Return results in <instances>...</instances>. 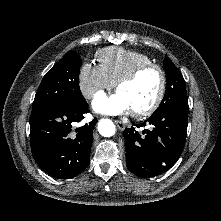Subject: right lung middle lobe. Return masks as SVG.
I'll list each match as a JSON object with an SVG mask.
<instances>
[{
	"mask_svg": "<svg viewBox=\"0 0 221 221\" xmlns=\"http://www.w3.org/2000/svg\"><path fill=\"white\" fill-rule=\"evenodd\" d=\"M80 66V56L69 51L43 77L34 98L30 121L55 106L80 105L85 101L79 88Z\"/></svg>",
	"mask_w": 221,
	"mask_h": 221,
	"instance_id": "dd1d6c3e",
	"label": "right lung middle lobe"
}]
</instances>
